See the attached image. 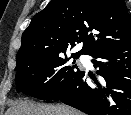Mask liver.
<instances>
[{"label":"liver","instance_id":"6515ba94","mask_svg":"<svg viewBox=\"0 0 131 115\" xmlns=\"http://www.w3.org/2000/svg\"><path fill=\"white\" fill-rule=\"evenodd\" d=\"M5 115H82L79 111L64 105H40L31 101L13 103Z\"/></svg>","mask_w":131,"mask_h":115}]
</instances>
